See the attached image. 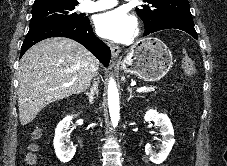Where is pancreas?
Returning <instances> with one entry per match:
<instances>
[{"instance_id":"1","label":"pancreas","mask_w":227,"mask_h":166,"mask_svg":"<svg viewBox=\"0 0 227 166\" xmlns=\"http://www.w3.org/2000/svg\"><path fill=\"white\" fill-rule=\"evenodd\" d=\"M148 90L146 92H151V91H154L155 90V87H147Z\"/></svg>"}]
</instances>
